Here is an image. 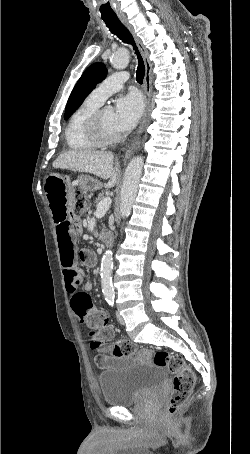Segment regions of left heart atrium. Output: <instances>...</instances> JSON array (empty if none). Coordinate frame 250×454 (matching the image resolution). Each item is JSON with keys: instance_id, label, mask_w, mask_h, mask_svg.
<instances>
[{"instance_id": "left-heart-atrium-1", "label": "left heart atrium", "mask_w": 250, "mask_h": 454, "mask_svg": "<svg viewBox=\"0 0 250 454\" xmlns=\"http://www.w3.org/2000/svg\"><path fill=\"white\" fill-rule=\"evenodd\" d=\"M144 110V100L139 92L133 91L116 101L114 126L118 132L132 129Z\"/></svg>"}]
</instances>
